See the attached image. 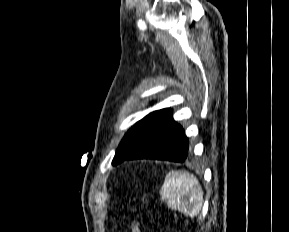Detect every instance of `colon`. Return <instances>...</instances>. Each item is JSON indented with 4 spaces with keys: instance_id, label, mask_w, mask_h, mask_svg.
<instances>
[{
    "instance_id": "5ec220e1",
    "label": "colon",
    "mask_w": 289,
    "mask_h": 232,
    "mask_svg": "<svg viewBox=\"0 0 289 232\" xmlns=\"http://www.w3.org/2000/svg\"><path fill=\"white\" fill-rule=\"evenodd\" d=\"M131 232H142L138 221L136 220L132 221Z\"/></svg>"
}]
</instances>
